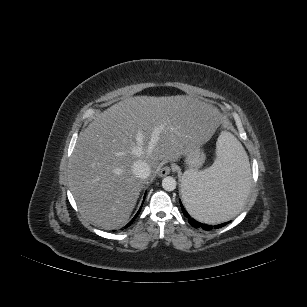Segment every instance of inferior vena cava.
Here are the masks:
<instances>
[{
    "mask_svg": "<svg viewBox=\"0 0 307 307\" xmlns=\"http://www.w3.org/2000/svg\"><path fill=\"white\" fill-rule=\"evenodd\" d=\"M132 172L136 177L146 179L150 176L151 169L147 162L138 160L132 165Z\"/></svg>",
    "mask_w": 307,
    "mask_h": 307,
    "instance_id": "obj_1",
    "label": "inferior vena cava"
}]
</instances>
